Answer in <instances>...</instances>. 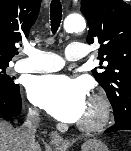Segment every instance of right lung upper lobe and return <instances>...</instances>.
<instances>
[{
	"instance_id": "obj_1",
	"label": "right lung upper lobe",
	"mask_w": 131,
	"mask_h": 151,
	"mask_svg": "<svg viewBox=\"0 0 131 151\" xmlns=\"http://www.w3.org/2000/svg\"><path fill=\"white\" fill-rule=\"evenodd\" d=\"M41 0H0V64H8L17 54V43L28 37Z\"/></svg>"
}]
</instances>
